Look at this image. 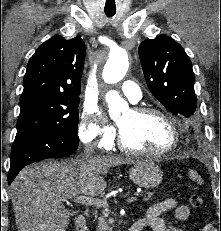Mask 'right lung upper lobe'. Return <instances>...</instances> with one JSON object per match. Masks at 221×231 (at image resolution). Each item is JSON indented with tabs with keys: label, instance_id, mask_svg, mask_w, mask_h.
<instances>
[{
	"label": "right lung upper lobe",
	"instance_id": "right-lung-upper-lobe-1",
	"mask_svg": "<svg viewBox=\"0 0 221 231\" xmlns=\"http://www.w3.org/2000/svg\"><path fill=\"white\" fill-rule=\"evenodd\" d=\"M86 47L80 37L56 35L41 44L30 58L20 99L34 96L80 95Z\"/></svg>",
	"mask_w": 221,
	"mask_h": 231
}]
</instances>
